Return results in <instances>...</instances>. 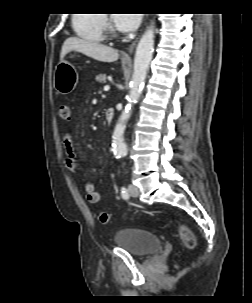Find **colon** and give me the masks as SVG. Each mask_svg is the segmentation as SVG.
<instances>
[{
	"mask_svg": "<svg viewBox=\"0 0 252 303\" xmlns=\"http://www.w3.org/2000/svg\"><path fill=\"white\" fill-rule=\"evenodd\" d=\"M59 115L62 120H69L71 116V110L69 105L62 104L59 107ZM99 220L102 224H107L110 221V214L102 211L99 213ZM178 233L183 242V245L187 249H194L197 245V240L193 232L184 225L178 226Z\"/></svg>",
	"mask_w": 252,
	"mask_h": 303,
	"instance_id": "colon-1",
	"label": "colon"
}]
</instances>
